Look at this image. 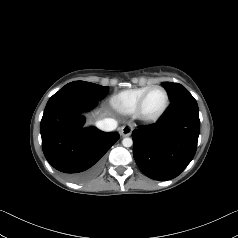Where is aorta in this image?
I'll return each mask as SVG.
<instances>
[{
	"instance_id": "762f6f07",
	"label": "aorta",
	"mask_w": 238,
	"mask_h": 238,
	"mask_svg": "<svg viewBox=\"0 0 238 238\" xmlns=\"http://www.w3.org/2000/svg\"><path fill=\"white\" fill-rule=\"evenodd\" d=\"M122 144L124 147H131L133 145V140L131 138H124L122 140Z\"/></svg>"
}]
</instances>
